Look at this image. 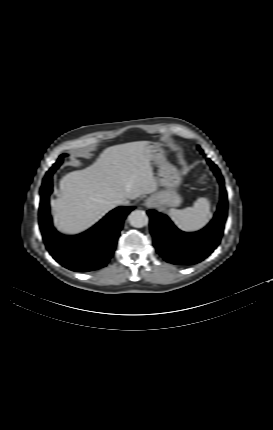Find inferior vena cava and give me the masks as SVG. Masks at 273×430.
<instances>
[{
	"label": "inferior vena cava",
	"instance_id": "obj_1",
	"mask_svg": "<svg viewBox=\"0 0 273 430\" xmlns=\"http://www.w3.org/2000/svg\"><path fill=\"white\" fill-rule=\"evenodd\" d=\"M116 204H118V205H127V204H129V200L125 199V198H121V199H118L116 201Z\"/></svg>",
	"mask_w": 273,
	"mask_h": 430
}]
</instances>
